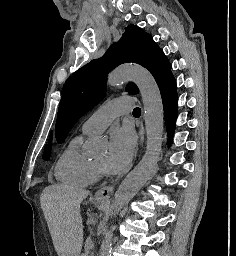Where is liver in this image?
<instances>
[{
    "label": "liver",
    "mask_w": 236,
    "mask_h": 256,
    "mask_svg": "<svg viewBox=\"0 0 236 256\" xmlns=\"http://www.w3.org/2000/svg\"><path fill=\"white\" fill-rule=\"evenodd\" d=\"M89 192L55 184L41 194V206L58 256H79L83 246L80 204Z\"/></svg>",
    "instance_id": "1"
}]
</instances>
